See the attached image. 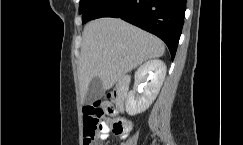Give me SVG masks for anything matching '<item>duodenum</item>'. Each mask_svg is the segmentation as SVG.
<instances>
[{
	"label": "duodenum",
	"instance_id": "obj_1",
	"mask_svg": "<svg viewBox=\"0 0 243 145\" xmlns=\"http://www.w3.org/2000/svg\"><path fill=\"white\" fill-rule=\"evenodd\" d=\"M128 84H129V78L125 76L118 82V84L115 87L114 98L119 108H121L123 100L126 96L128 90Z\"/></svg>",
	"mask_w": 243,
	"mask_h": 145
}]
</instances>
